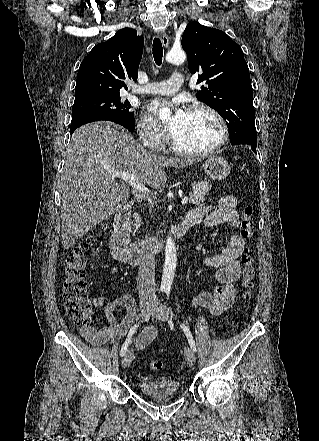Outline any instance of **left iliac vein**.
<instances>
[{
    "mask_svg": "<svg viewBox=\"0 0 319 441\" xmlns=\"http://www.w3.org/2000/svg\"><path fill=\"white\" fill-rule=\"evenodd\" d=\"M150 314L161 321H170V313L166 306H164L159 300L154 299L150 307ZM185 358L190 365H194L196 357L191 348L186 347L184 350Z\"/></svg>",
    "mask_w": 319,
    "mask_h": 441,
    "instance_id": "4c4485c4",
    "label": "left iliac vein"
}]
</instances>
